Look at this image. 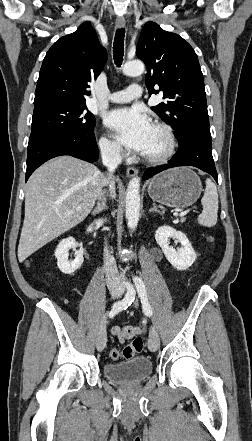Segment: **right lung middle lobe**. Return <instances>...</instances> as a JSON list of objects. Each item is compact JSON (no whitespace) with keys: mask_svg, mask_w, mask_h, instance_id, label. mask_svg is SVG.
Listing matches in <instances>:
<instances>
[{"mask_svg":"<svg viewBox=\"0 0 252 441\" xmlns=\"http://www.w3.org/2000/svg\"><path fill=\"white\" fill-rule=\"evenodd\" d=\"M95 125L94 115L85 103L50 101L34 105L30 137L40 134H90Z\"/></svg>","mask_w":252,"mask_h":441,"instance_id":"dd1d6c3e","label":"right lung middle lobe"}]
</instances>
